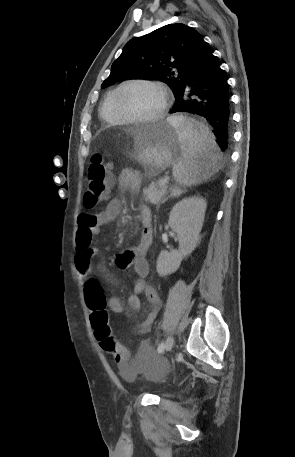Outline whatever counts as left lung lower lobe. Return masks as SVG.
<instances>
[{
    "mask_svg": "<svg viewBox=\"0 0 295 457\" xmlns=\"http://www.w3.org/2000/svg\"><path fill=\"white\" fill-rule=\"evenodd\" d=\"M183 76L170 113L191 112L206 118L213 126L214 140L225 151L231 138L230 96L223 70L204 41Z\"/></svg>",
    "mask_w": 295,
    "mask_h": 457,
    "instance_id": "obj_1",
    "label": "left lung lower lobe"
}]
</instances>
